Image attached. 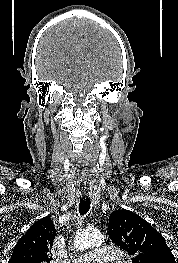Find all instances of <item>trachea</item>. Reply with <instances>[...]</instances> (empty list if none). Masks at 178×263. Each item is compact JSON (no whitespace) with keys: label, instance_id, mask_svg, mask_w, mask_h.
Here are the masks:
<instances>
[{"label":"trachea","instance_id":"obj_1","mask_svg":"<svg viewBox=\"0 0 178 263\" xmlns=\"http://www.w3.org/2000/svg\"><path fill=\"white\" fill-rule=\"evenodd\" d=\"M90 205H91V201H90V199L88 197L80 198L79 213L81 215L87 214V212H89V210H90Z\"/></svg>","mask_w":178,"mask_h":263}]
</instances>
